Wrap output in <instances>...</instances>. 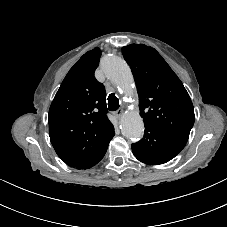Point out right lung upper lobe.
Wrapping results in <instances>:
<instances>
[{"mask_svg": "<svg viewBox=\"0 0 227 227\" xmlns=\"http://www.w3.org/2000/svg\"><path fill=\"white\" fill-rule=\"evenodd\" d=\"M100 49L85 53L70 69L49 109V136L57 155L70 167L99 157L114 132L107 117L106 93L94 72Z\"/></svg>", "mask_w": 227, "mask_h": 227, "instance_id": "obj_1", "label": "right lung upper lobe"}]
</instances>
